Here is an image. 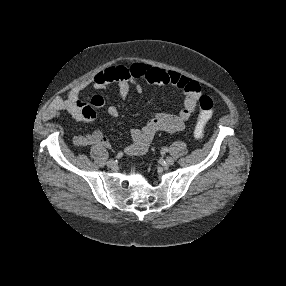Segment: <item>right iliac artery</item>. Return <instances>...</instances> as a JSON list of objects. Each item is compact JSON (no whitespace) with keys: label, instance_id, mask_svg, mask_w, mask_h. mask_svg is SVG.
Masks as SVG:
<instances>
[{"label":"right iliac artery","instance_id":"right-iliac-artery-1","mask_svg":"<svg viewBox=\"0 0 286 286\" xmlns=\"http://www.w3.org/2000/svg\"><path fill=\"white\" fill-rule=\"evenodd\" d=\"M123 156H124V155H123V151H122V150H119L115 158L121 159V158H123Z\"/></svg>","mask_w":286,"mask_h":286}]
</instances>
